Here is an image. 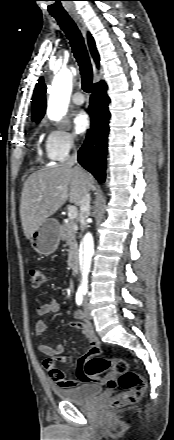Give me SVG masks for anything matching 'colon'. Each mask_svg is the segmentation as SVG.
I'll list each match as a JSON object with an SVG mask.
<instances>
[{"mask_svg": "<svg viewBox=\"0 0 174 440\" xmlns=\"http://www.w3.org/2000/svg\"><path fill=\"white\" fill-rule=\"evenodd\" d=\"M29 277L34 288L41 287L45 281L43 271L37 267L29 269ZM84 370L88 377H94L105 371L113 372V375L107 377L104 382L112 388L119 386L122 392L110 400L109 406L112 409L137 403L146 388L144 379L137 372L131 370L128 362L124 359L93 358L85 363ZM114 375H118V378L116 379Z\"/></svg>", "mask_w": 174, "mask_h": 440, "instance_id": "1", "label": "colon"}]
</instances>
